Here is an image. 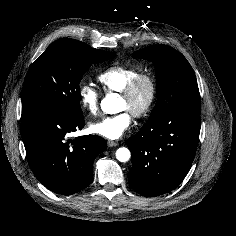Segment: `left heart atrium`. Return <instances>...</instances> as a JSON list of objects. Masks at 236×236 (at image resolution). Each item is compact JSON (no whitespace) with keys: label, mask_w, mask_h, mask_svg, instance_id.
Instances as JSON below:
<instances>
[{"label":"left heart atrium","mask_w":236,"mask_h":236,"mask_svg":"<svg viewBox=\"0 0 236 236\" xmlns=\"http://www.w3.org/2000/svg\"><path fill=\"white\" fill-rule=\"evenodd\" d=\"M132 114L126 110L94 122L93 131L109 139L120 138L131 126Z\"/></svg>","instance_id":"39dd6f15"}]
</instances>
